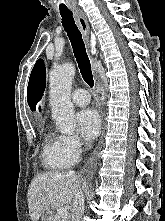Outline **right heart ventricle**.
I'll list each match as a JSON object with an SVG mask.
<instances>
[{"label": "right heart ventricle", "mask_w": 165, "mask_h": 221, "mask_svg": "<svg viewBox=\"0 0 165 221\" xmlns=\"http://www.w3.org/2000/svg\"><path fill=\"white\" fill-rule=\"evenodd\" d=\"M42 159L50 170H64L73 165L75 160L62 149L61 137L48 132L44 136Z\"/></svg>", "instance_id": "e07e8e85"}]
</instances>
